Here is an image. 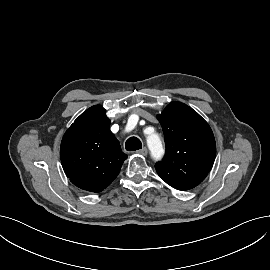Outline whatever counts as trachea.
I'll return each instance as SVG.
<instances>
[{
  "label": "trachea",
  "mask_w": 270,
  "mask_h": 270,
  "mask_svg": "<svg viewBox=\"0 0 270 270\" xmlns=\"http://www.w3.org/2000/svg\"><path fill=\"white\" fill-rule=\"evenodd\" d=\"M125 148L127 151H136L142 148V143L137 137H130L125 143Z\"/></svg>",
  "instance_id": "trachea-1"
}]
</instances>
